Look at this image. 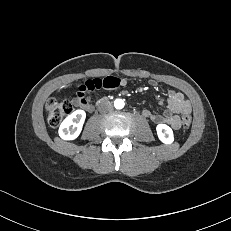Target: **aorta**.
<instances>
[{
  "instance_id": "762f6f07",
  "label": "aorta",
  "mask_w": 231,
  "mask_h": 231,
  "mask_svg": "<svg viewBox=\"0 0 231 231\" xmlns=\"http://www.w3.org/2000/svg\"><path fill=\"white\" fill-rule=\"evenodd\" d=\"M124 105H125V103H124V101L122 99H116L114 101V107L116 109H122L124 107Z\"/></svg>"
}]
</instances>
